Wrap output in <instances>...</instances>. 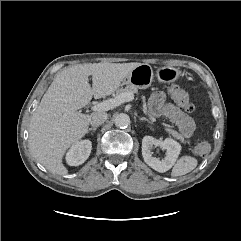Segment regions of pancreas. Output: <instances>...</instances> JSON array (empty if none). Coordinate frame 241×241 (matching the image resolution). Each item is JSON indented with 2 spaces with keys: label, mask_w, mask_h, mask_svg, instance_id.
I'll use <instances>...</instances> for the list:
<instances>
[{
  "label": "pancreas",
  "mask_w": 241,
  "mask_h": 241,
  "mask_svg": "<svg viewBox=\"0 0 241 241\" xmlns=\"http://www.w3.org/2000/svg\"><path fill=\"white\" fill-rule=\"evenodd\" d=\"M126 92H131V93H137L138 92V88L134 85H127L125 88H120L119 90H117V95L122 94V93H126ZM166 131L172 135L175 139L179 140L181 143L185 144V138L183 137V135H181L180 133H178L177 131L171 129V128H166Z\"/></svg>",
  "instance_id": "1"
}]
</instances>
